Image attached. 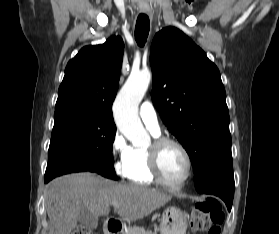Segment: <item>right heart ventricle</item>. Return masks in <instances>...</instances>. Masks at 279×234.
<instances>
[{
  "label": "right heart ventricle",
  "instance_id": "e07e8e85",
  "mask_svg": "<svg viewBox=\"0 0 279 234\" xmlns=\"http://www.w3.org/2000/svg\"><path fill=\"white\" fill-rule=\"evenodd\" d=\"M126 178L136 184L151 185L156 182L149 166V148L131 147L125 165Z\"/></svg>",
  "mask_w": 279,
  "mask_h": 234
}]
</instances>
